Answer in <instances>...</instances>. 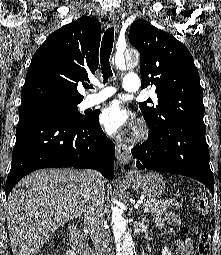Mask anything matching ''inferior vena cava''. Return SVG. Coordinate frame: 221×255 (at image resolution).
<instances>
[{
    "instance_id": "inferior-vena-cava-1",
    "label": "inferior vena cava",
    "mask_w": 221,
    "mask_h": 255,
    "mask_svg": "<svg viewBox=\"0 0 221 255\" xmlns=\"http://www.w3.org/2000/svg\"><path fill=\"white\" fill-rule=\"evenodd\" d=\"M95 181L86 198L84 224L90 232L95 246L96 255H113L110 235L105 228L104 190L99 186L102 176L97 171H91Z\"/></svg>"
}]
</instances>
